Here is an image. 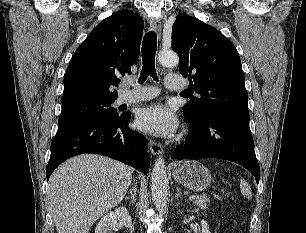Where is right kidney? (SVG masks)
<instances>
[{
	"mask_svg": "<svg viewBox=\"0 0 306 233\" xmlns=\"http://www.w3.org/2000/svg\"><path fill=\"white\" fill-rule=\"evenodd\" d=\"M119 223L125 227L132 225L131 216L123 206L105 214L97 224L95 233H112L111 231L116 229Z\"/></svg>",
	"mask_w": 306,
	"mask_h": 233,
	"instance_id": "ca27d5eb",
	"label": "right kidney"
}]
</instances>
